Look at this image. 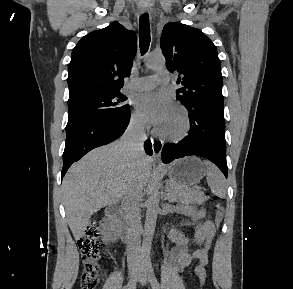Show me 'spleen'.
I'll return each mask as SVG.
<instances>
[{
    "mask_svg": "<svg viewBox=\"0 0 293 289\" xmlns=\"http://www.w3.org/2000/svg\"><path fill=\"white\" fill-rule=\"evenodd\" d=\"M207 174V183L211 192L219 198H225L227 194V184L223 174L219 169L208 161H204Z\"/></svg>",
    "mask_w": 293,
    "mask_h": 289,
    "instance_id": "obj_1",
    "label": "spleen"
}]
</instances>
